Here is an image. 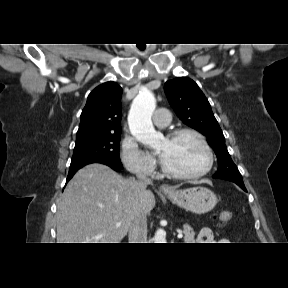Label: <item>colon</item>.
<instances>
[{"label":"colon","instance_id":"colon-1","mask_svg":"<svg viewBox=\"0 0 288 288\" xmlns=\"http://www.w3.org/2000/svg\"><path fill=\"white\" fill-rule=\"evenodd\" d=\"M218 219L220 225L224 226L232 220V212L228 210H222L218 213Z\"/></svg>","mask_w":288,"mask_h":288}]
</instances>
